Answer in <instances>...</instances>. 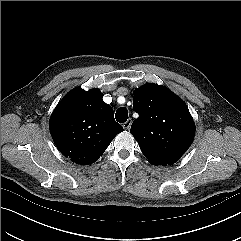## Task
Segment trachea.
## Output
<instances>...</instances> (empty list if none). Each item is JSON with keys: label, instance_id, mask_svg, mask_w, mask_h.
I'll list each match as a JSON object with an SVG mask.
<instances>
[{"label": "trachea", "instance_id": "1", "mask_svg": "<svg viewBox=\"0 0 241 241\" xmlns=\"http://www.w3.org/2000/svg\"><path fill=\"white\" fill-rule=\"evenodd\" d=\"M115 118L118 122L124 123L128 118V111L125 107H121L116 111Z\"/></svg>", "mask_w": 241, "mask_h": 241}]
</instances>
